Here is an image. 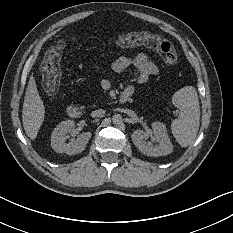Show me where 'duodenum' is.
<instances>
[{
    "instance_id": "1",
    "label": "duodenum",
    "mask_w": 233,
    "mask_h": 233,
    "mask_svg": "<svg viewBox=\"0 0 233 233\" xmlns=\"http://www.w3.org/2000/svg\"><path fill=\"white\" fill-rule=\"evenodd\" d=\"M120 101L121 102H126L127 98L123 95H121L120 97ZM67 113L70 117L72 118H78L81 116L82 114V110L80 109L79 106L75 105V104H71L67 107Z\"/></svg>"
}]
</instances>
